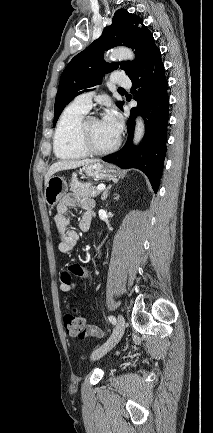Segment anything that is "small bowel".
I'll return each mask as SVG.
<instances>
[{
	"label": "small bowel",
	"mask_w": 213,
	"mask_h": 433,
	"mask_svg": "<svg viewBox=\"0 0 213 433\" xmlns=\"http://www.w3.org/2000/svg\"><path fill=\"white\" fill-rule=\"evenodd\" d=\"M72 207H79L83 210V214L78 220V226L82 231L88 230L92 220L93 202L91 199L75 194H68L60 201L57 206L55 224L60 238L58 251L61 253H70L79 241V233L70 227L72 216L69 214V210ZM68 271L72 273V276L84 279H90L93 276V272L90 269L79 264H71L68 267ZM60 288L64 292L73 291L77 288V283L75 281H71V283L63 282ZM87 330L89 336L98 338L103 336V331L96 325H88Z\"/></svg>",
	"instance_id": "obj_1"
}]
</instances>
